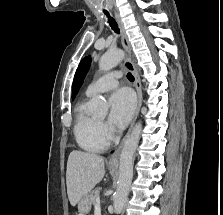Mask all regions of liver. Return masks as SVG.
<instances>
[{"instance_id":"6515ba94","label":"liver","mask_w":223,"mask_h":215,"mask_svg":"<svg viewBox=\"0 0 223 215\" xmlns=\"http://www.w3.org/2000/svg\"><path fill=\"white\" fill-rule=\"evenodd\" d=\"M104 159L96 153L71 151L67 161L66 183L71 205H76L83 195L90 193L96 183L103 179Z\"/></svg>"}]
</instances>
